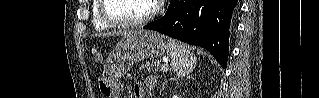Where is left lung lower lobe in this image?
I'll use <instances>...</instances> for the list:
<instances>
[{"label":"left lung lower lobe","instance_id":"obj_1","mask_svg":"<svg viewBox=\"0 0 319 98\" xmlns=\"http://www.w3.org/2000/svg\"><path fill=\"white\" fill-rule=\"evenodd\" d=\"M237 0H171L164 17L144 29L207 49L226 68Z\"/></svg>","mask_w":319,"mask_h":98}]
</instances>
